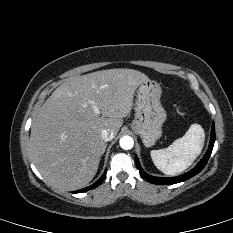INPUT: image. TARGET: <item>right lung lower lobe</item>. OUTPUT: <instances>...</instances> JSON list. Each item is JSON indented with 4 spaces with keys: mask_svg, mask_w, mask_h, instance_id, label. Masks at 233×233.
Instances as JSON below:
<instances>
[{
    "mask_svg": "<svg viewBox=\"0 0 233 233\" xmlns=\"http://www.w3.org/2000/svg\"><path fill=\"white\" fill-rule=\"evenodd\" d=\"M105 175H106V172L103 174V176H102L96 183H94V184L91 185L90 187H87V188H84V189L75 191L74 193L85 192V191H88V190H90V189H93V188L97 187V186L103 181Z\"/></svg>",
    "mask_w": 233,
    "mask_h": 233,
    "instance_id": "right-lung-lower-lobe-1",
    "label": "right lung lower lobe"
}]
</instances>
